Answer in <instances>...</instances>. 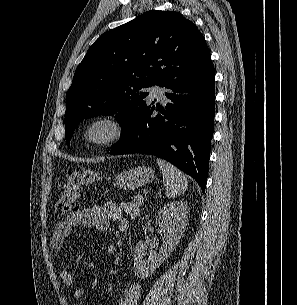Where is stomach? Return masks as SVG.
Listing matches in <instances>:
<instances>
[{"label":"stomach","instance_id":"0dacf381","mask_svg":"<svg viewBox=\"0 0 297 305\" xmlns=\"http://www.w3.org/2000/svg\"><path fill=\"white\" fill-rule=\"evenodd\" d=\"M154 171L150 167L139 166L124 170L115 178V184L124 190H134L154 180Z\"/></svg>","mask_w":297,"mask_h":305}]
</instances>
